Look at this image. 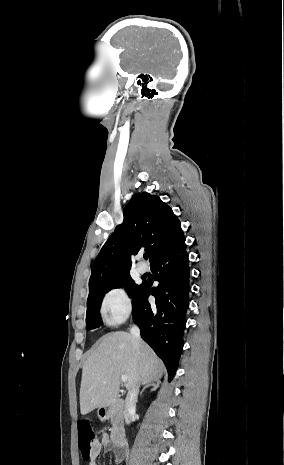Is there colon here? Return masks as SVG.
<instances>
[{
    "instance_id": "1",
    "label": "colon",
    "mask_w": 284,
    "mask_h": 465,
    "mask_svg": "<svg viewBox=\"0 0 284 465\" xmlns=\"http://www.w3.org/2000/svg\"><path fill=\"white\" fill-rule=\"evenodd\" d=\"M78 439L80 447V457L87 461L91 457L92 446L95 442V432L90 422H79L78 426Z\"/></svg>"
}]
</instances>
